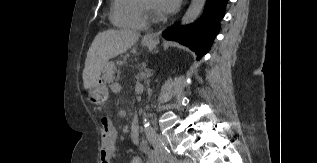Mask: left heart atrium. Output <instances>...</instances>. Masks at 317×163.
<instances>
[{
	"mask_svg": "<svg viewBox=\"0 0 317 163\" xmlns=\"http://www.w3.org/2000/svg\"><path fill=\"white\" fill-rule=\"evenodd\" d=\"M156 10L163 15H167L175 11L180 0H154Z\"/></svg>",
	"mask_w": 317,
	"mask_h": 163,
	"instance_id": "1",
	"label": "left heart atrium"
}]
</instances>
